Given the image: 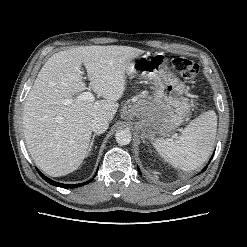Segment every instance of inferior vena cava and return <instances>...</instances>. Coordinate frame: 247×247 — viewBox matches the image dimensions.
Returning <instances> with one entry per match:
<instances>
[{
	"label": "inferior vena cava",
	"mask_w": 247,
	"mask_h": 247,
	"mask_svg": "<svg viewBox=\"0 0 247 247\" xmlns=\"http://www.w3.org/2000/svg\"><path fill=\"white\" fill-rule=\"evenodd\" d=\"M109 123L103 117H96L92 120L91 128L95 133L101 134L108 129Z\"/></svg>",
	"instance_id": "1"
}]
</instances>
